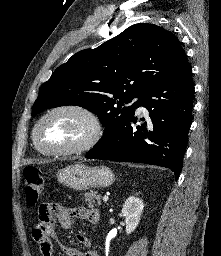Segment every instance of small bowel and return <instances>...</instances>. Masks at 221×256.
I'll return each mask as SVG.
<instances>
[{
    "instance_id": "small-bowel-1",
    "label": "small bowel",
    "mask_w": 221,
    "mask_h": 256,
    "mask_svg": "<svg viewBox=\"0 0 221 256\" xmlns=\"http://www.w3.org/2000/svg\"><path fill=\"white\" fill-rule=\"evenodd\" d=\"M76 218L89 221L91 224L99 222V211L95 208L76 207L69 208L53 203H43L39 207L38 220L33 228L32 234L40 247L42 256H53L52 239H57V225L63 229H69ZM77 240L83 246L89 248L91 240L83 233L77 234ZM67 256H99L98 252L89 249L81 252L75 248L60 245Z\"/></svg>"
}]
</instances>
